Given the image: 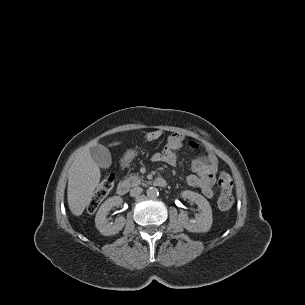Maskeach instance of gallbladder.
Segmentation results:
<instances>
[{
    "label": "gallbladder",
    "instance_id": "obj_1",
    "mask_svg": "<svg viewBox=\"0 0 305 305\" xmlns=\"http://www.w3.org/2000/svg\"><path fill=\"white\" fill-rule=\"evenodd\" d=\"M90 154L94 162L101 168L108 169L112 164L111 154L103 145L90 147Z\"/></svg>",
    "mask_w": 305,
    "mask_h": 305
}]
</instances>
